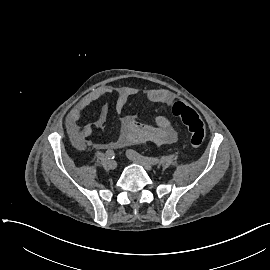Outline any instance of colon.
Returning <instances> with one entry per match:
<instances>
[{"label": "colon", "instance_id": "obj_1", "mask_svg": "<svg viewBox=\"0 0 270 270\" xmlns=\"http://www.w3.org/2000/svg\"><path fill=\"white\" fill-rule=\"evenodd\" d=\"M170 111L172 115L181 120L186 126L191 147H200L205 139V128L195 110L183 102H175L171 106Z\"/></svg>", "mask_w": 270, "mask_h": 270}]
</instances>
